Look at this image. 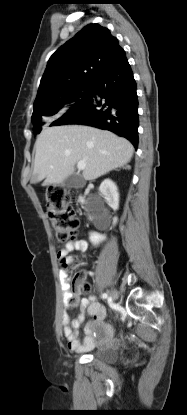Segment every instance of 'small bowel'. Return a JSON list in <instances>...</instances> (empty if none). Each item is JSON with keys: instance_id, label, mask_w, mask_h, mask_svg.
I'll list each match as a JSON object with an SVG mask.
<instances>
[{"instance_id": "c3829d8e", "label": "small bowel", "mask_w": 187, "mask_h": 415, "mask_svg": "<svg viewBox=\"0 0 187 415\" xmlns=\"http://www.w3.org/2000/svg\"><path fill=\"white\" fill-rule=\"evenodd\" d=\"M87 242L83 239H77L69 242L58 253V256L72 261L70 253L73 251L84 252L87 250ZM61 288L63 291V302L66 309L80 306L79 314L70 320L67 314L63 315L62 328L64 335L68 341V347L72 351L84 352L94 349L96 346H114L117 341L113 339L112 327L105 321L106 310L94 295L80 298L78 293L72 292L68 282V274L66 270H60ZM85 314H88L92 320L89 321L84 328L85 337L83 340L79 338V329L82 326Z\"/></svg>"}]
</instances>
